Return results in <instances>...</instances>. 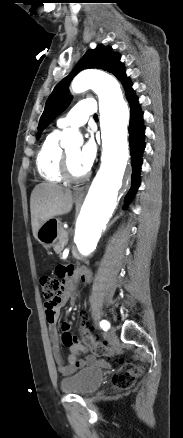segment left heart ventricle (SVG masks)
I'll use <instances>...</instances> for the list:
<instances>
[{
  "instance_id": "obj_1",
  "label": "left heart ventricle",
  "mask_w": 183,
  "mask_h": 438,
  "mask_svg": "<svg viewBox=\"0 0 183 438\" xmlns=\"http://www.w3.org/2000/svg\"><path fill=\"white\" fill-rule=\"evenodd\" d=\"M66 152L69 159V168L71 174L74 176L83 175L86 172V170L83 168L79 160L80 148L72 147L68 149Z\"/></svg>"
}]
</instances>
